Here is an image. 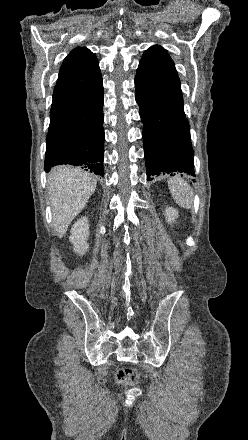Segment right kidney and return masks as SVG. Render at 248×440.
<instances>
[{
    "label": "right kidney",
    "mask_w": 248,
    "mask_h": 440,
    "mask_svg": "<svg viewBox=\"0 0 248 440\" xmlns=\"http://www.w3.org/2000/svg\"><path fill=\"white\" fill-rule=\"evenodd\" d=\"M69 241L73 244V249L79 255H83L88 249L89 224L87 217L78 219L71 228Z\"/></svg>",
    "instance_id": "ca27d5eb"
}]
</instances>
